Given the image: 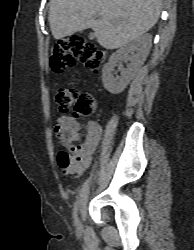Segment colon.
I'll return each mask as SVG.
<instances>
[{
    "label": "colon",
    "instance_id": "1",
    "mask_svg": "<svg viewBox=\"0 0 194 250\" xmlns=\"http://www.w3.org/2000/svg\"><path fill=\"white\" fill-rule=\"evenodd\" d=\"M102 54L98 47L78 35L64 38L51 47L50 68L54 73H62L73 68L77 62L83 63L92 71L99 69ZM54 100L61 112L74 109L77 115L90 114L93 104L88 96H82L73 87L60 86L54 92ZM72 155L65 150L58 153L59 166L68 168Z\"/></svg>",
    "mask_w": 194,
    "mask_h": 250
}]
</instances>
